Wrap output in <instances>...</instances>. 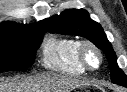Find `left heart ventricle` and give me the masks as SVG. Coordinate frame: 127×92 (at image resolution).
Returning <instances> with one entry per match:
<instances>
[{"label":"left heart ventricle","instance_id":"1","mask_svg":"<svg viewBox=\"0 0 127 92\" xmlns=\"http://www.w3.org/2000/svg\"><path fill=\"white\" fill-rule=\"evenodd\" d=\"M87 59H88V62L91 66H97L98 65L99 58L95 53L89 51L87 53Z\"/></svg>","mask_w":127,"mask_h":92}]
</instances>
